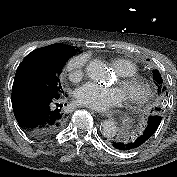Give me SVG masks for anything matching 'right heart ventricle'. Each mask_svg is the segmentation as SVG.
<instances>
[{"mask_svg":"<svg viewBox=\"0 0 177 177\" xmlns=\"http://www.w3.org/2000/svg\"><path fill=\"white\" fill-rule=\"evenodd\" d=\"M112 66L121 77L133 76L138 72L136 64L127 59H116L112 62Z\"/></svg>","mask_w":177,"mask_h":177,"instance_id":"1","label":"right heart ventricle"}]
</instances>
